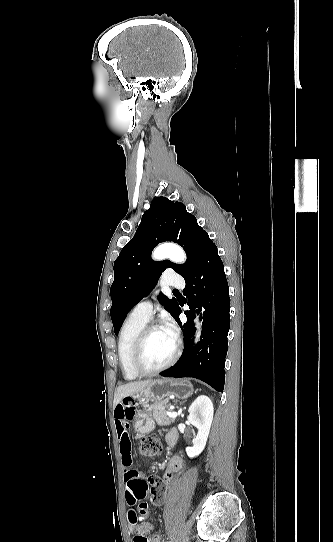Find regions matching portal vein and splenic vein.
I'll return each mask as SVG.
<instances>
[{
	"mask_svg": "<svg viewBox=\"0 0 333 542\" xmlns=\"http://www.w3.org/2000/svg\"><path fill=\"white\" fill-rule=\"evenodd\" d=\"M166 414L169 418H177L178 416L177 412H166Z\"/></svg>",
	"mask_w": 333,
	"mask_h": 542,
	"instance_id": "18ae733b",
	"label": "portal vein and splenic vein"
}]
</instances>
